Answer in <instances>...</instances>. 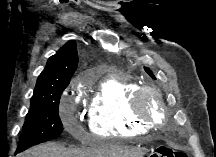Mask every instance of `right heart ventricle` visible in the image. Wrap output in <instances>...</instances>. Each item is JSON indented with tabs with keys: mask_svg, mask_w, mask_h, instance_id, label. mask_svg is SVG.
<instances>
[{
	"mask_svg": "<svg viewBox=\"0 0 216 157\" xmlns=\"http://www.w3.org/2000/svg\"><path fill=\"white\" fill-rule=\"evenodd\" d=\"M138 86L122 74L104 78L89 106V126L98 136H132L152 126L132 111V100Z\"/></svg>",
	"mask_w": 216,
	"mask_h": 157,
	"instance_id": "right-heart-ventricle-1",
	"label": "right heart ventricle"
}]
</instances>
